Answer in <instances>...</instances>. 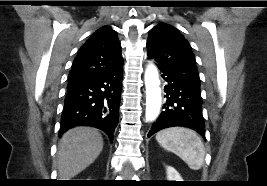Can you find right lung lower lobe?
I'll return each mask as SVG.
<instances>
[{"label": "right lung lower lobe", "instance_id": "right-lung-lower-lobe-1", "mask_svg": "<svg viewBox=\"0 0 267 186\" xmlns=\"http://www.w3.org/2000/svg\"><path fill=\"white\" fill-rule=\"evenodd\" d=\"M121 66L68 80L59 136L75 126H91L113 141L119 118Z\"/></svg>", "mask_w": 267, "mask_h": 186}]
</instances>
